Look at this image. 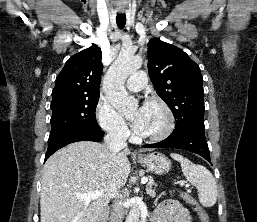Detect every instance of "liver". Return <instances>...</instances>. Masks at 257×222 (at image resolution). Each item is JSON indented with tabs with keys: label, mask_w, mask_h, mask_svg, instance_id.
I'll return each mask as SVG.
<instances>
[{
	"label": "liver",
	"mask_w": 257,
	"mask_h": 222,
	"mask_svg": "<svg viewBox=\"0 0 257 222\" xmlns=\"http://www.w3.org/2000/svg\"><path fill=\"white\" fill-rule=\"evenodd\" d=\"M124 149L112 154L106 145L79 141L54 153L45 163L40 196L41 222H96L111 197L124 187L130 173ZM103 191L85 201L78 194Z\"/></svg>",
	"instance_id": "6515ba94"
}]
</instances>
